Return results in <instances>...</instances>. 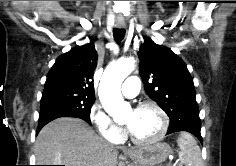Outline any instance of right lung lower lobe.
Masks as SVG:
<instances>
[{
  "label": "right lung lower lobe",
  "instance_id": "right-lung-lower-lobe-1",
  "mask_svg": "<svg viewBox=\"0 0 236 166\" xmlns=\"http://www.w3.org/2000/svg\"><path fill=\"white\" fill-rule=\"evenodd\" d=\"M67 117H76V118H80V119L85 120L83 117L77 116V115H70V116H67ZM85 121L90 124V122H88L87 120H85ZM48 122H50V121L39 123L38 129H37V133H36V134H38V132L42 129V127H43L44 125H46Z\"/></svg>",
  "mask_w": 236,
  "mask_h": 166
}]
</instances>
